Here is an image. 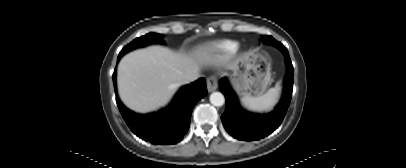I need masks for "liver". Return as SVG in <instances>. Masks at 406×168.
Wrapping results in <instances>:
<instances>
[{
	"instance_id": "6515ba94",
	"label": "liver",
	"mask_w": 406,
	"mask_h": 168,
	"mask_svg": "<svg viewBox=\"0 0 406 168\" xmlns=\"http://www.w3.org/2000/svg\"><path fill=\"white\" fill-rule=\"evenodd\" d=\"M207 59L203 51L188 55L162 46L133 51L118 65L120 98L127 107L140 113L163 107L181 85V75L194 70L199 72ZM236 62L229 64L228 68L233 70Z\"/></svg>"
}]
</instances>
